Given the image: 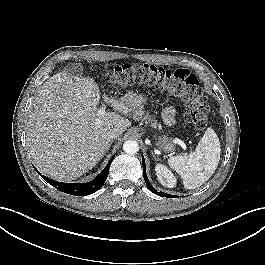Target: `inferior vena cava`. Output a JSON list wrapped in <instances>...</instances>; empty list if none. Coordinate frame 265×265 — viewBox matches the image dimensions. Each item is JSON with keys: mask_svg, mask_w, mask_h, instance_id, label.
<instances>
[{"mask_svg": "<svg viewBox=\"0 0 265 265\" xmlns=\"http://www.w3.org/2000/svg\"><path fill=\"white\" fill-rule=\"evenodd\" d=\"M105 137L109 140H113L115 138L118 137V134L115 132V131H108L106 134H105Z\"/></svg>", "mask_w": 265, "mask_h": 265, "instance_id": "1", "label": "inferior vena cava"}]
</instances>
